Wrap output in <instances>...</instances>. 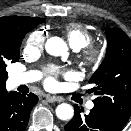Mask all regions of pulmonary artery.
<instances>
[{
  "label": "pulmonary artery",
  "mask_w": 131,
  "mask_h": 131,
  "mask_svg": "<svg viewBox=\"0 0 131 131\" xmlns=\"http://www.w3.org/2000/svg\"><path fill=\"white\" fill-rule=\"evenodd\" d=\"M39 78V74L33 71H29L26 73L16 74L12 77L13 84L15 86L21 85V84H27L33 81H36ZM86 107L88 109H92L94 107L93 101H88L86 103Z\"/></svg>",
  "instance_id": "pulmonary-artery-1"
}]
</instances>
